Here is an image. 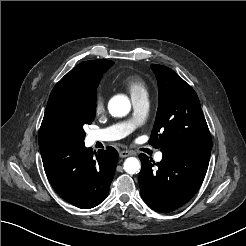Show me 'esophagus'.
Masks as SVG:
<instances>
[{"label":"esophagus","mask_w":246,"mask_h":246,"mask_svg":"<svg viewBox=\"0 0 246 246\" xmlns=\"http://www.w3.org/2000/svg\"><path fill=\"white\" fill-rule=\"evenodd\" d=\"M130 155H132V152L131 151L122 150V151L119 152V156L121 158H125V157H128Z\"/></svg>","instance_id":"esophagus-1"}]
</instances>
